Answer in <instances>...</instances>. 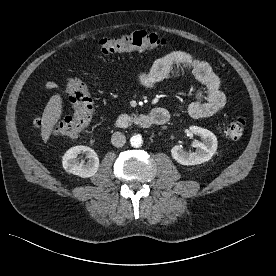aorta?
Returning <instances> with one entry per match:
<instances>
[{
	"instance_id": "1",
	"label": "aorta",
	"mask_w": 276,
	"mask_h": 276,
	"mask_svg": "<svg viewBox=\"0 0 276 276\" xmlns=\"http://www.w3.org/2000/svg\"><path fill=\"white\" fill-rule=\"evenodd\" d=\"M130 143H131V146L138 148L143 143L142 137L140 135H134L130 138Z\"/></svg>"
}]
</instances>
